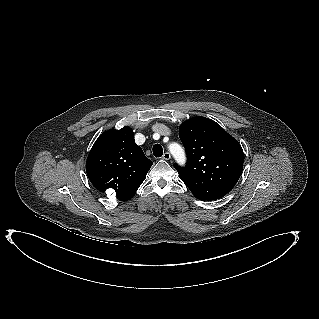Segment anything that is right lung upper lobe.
Wrapping results in <instances>:
<instances>
[{"mask_svg":"<svg viewBox=\"0 0 319 319\" xmlns=\"http://www.w3.org/2000/svg\"><path fill=\"white\" fill-rule=\"evenodd\" d=\"M152 166L134 141L131 128L104 132L87 158L89 180L100 192L113 189L121 201L131 199Z\"/></svg>","mask_w":319,"mask_h":319,"instance_id":"right-lung-upper-lobe-1","label":"right lung upper lobe"}]
</instances>
